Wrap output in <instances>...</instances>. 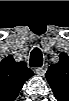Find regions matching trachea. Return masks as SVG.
Masks as SVG:
<instances>
[{"instance_id": "3493384b", "label": "trachea", "mask_w": 69, "mask_h": 101, "mask_svg": "<svg viewBox=\"0 0 69 101\" xmlns=\"http://www.w3.org/2000/svg\"><path fill=\"white\" fill-rule=\"evenodd\" d=\"M29 65L31 67H41L43 65V55L39 48H34L30 53Z\"/></svg>"}]
</instances>
